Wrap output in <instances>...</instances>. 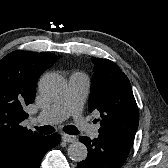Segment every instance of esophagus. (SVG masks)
Returning <instances> with one entry per match:
<instances>
[{"label":"esophagus","instance_id":"1","mask_svg":"<svg viewBox=\"0 0 168 168\" xmlns=\"http://www.w3.org/2000/svg\"><path fill=\"white\" fill-rule=\"evenodd\" d=\"M62 140L65 142H75L77 140V138L74 135L63 134Z\"/></svg>","mask_w":168,"mask_h":168}]
</instances>
